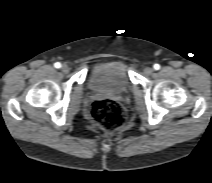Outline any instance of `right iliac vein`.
Instances as JSON below:
<instances>
[{
    "mask_svg": "<svg viewBox=\"0 0 212 183\" xmlns=\"http://www.w3.org/2000/svg\"><path fill=\"white\" fill-rule=\"evenodd\" d=\"M61 70L63 73H68L70 71V68L68 65L64 64L62 65Z\"/></svg>",
    "mask_w": 212,
    "mask_h": 183,
    "instance_id": "1",
    "label": "right iliac vein"
}]
</instances>
